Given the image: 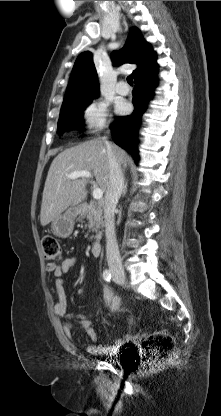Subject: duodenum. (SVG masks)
I'll list each match as a JSON object with an SVG mask.
<instances>
[{
	"mask_svg": "<svg viewBox=\"0 0 221 416\" xmlns=\"http://www.w3.org/2000/svg\"><path fill=\"white\" fill-rule=\"evenodd\" d=\"M101 247H102V242L100 239H95L90 246V254L94 257H98L100 255V251H101Z\"/></svg>",
	"mask_w": 221,
	"mask_h": 416,
	"instance_id": "410a0bca",
	"label": "duodenum"
}]
</instances>
